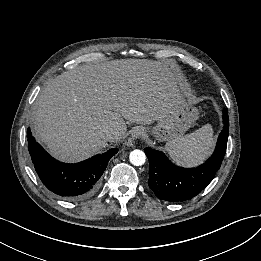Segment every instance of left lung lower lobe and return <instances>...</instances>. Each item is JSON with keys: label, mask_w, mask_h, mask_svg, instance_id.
Returning <instances> with one entry per match:
<instances>
[{"label": "left lung lower lobe", "mask_w": 261, "mask_h": 261, "mask_svg": "<svg viewBox=\"0 0 261 261\" xmlns=\"http://www.w3.org/2000/svg\"><path fill=\"white\" fill-rule=\"evenodd\" d=\"M223 122L224 127L212 156L195 168L178 167L162 152L149 147L144 149L150 164L148 185L159 199L186 201L198 195L211 182L226 153L229 133L227 109L223 111Z\"/></svg>", "instance_id": "left-lung-lower-lobe-1"}]
</instances>
